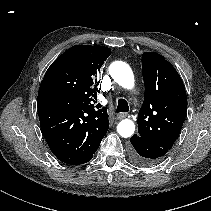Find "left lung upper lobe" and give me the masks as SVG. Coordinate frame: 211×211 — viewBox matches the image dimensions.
<instances>
[{"instance_id":"obj_1","label":"left lung upper lobe","mask_w":211,"mask_h":211,"mask_svg":"<svg viewBox=\"0 0 211 211\" xmlns=\"http://www.w3.org/2000/svg\"><path fill=\"white\" fill-rule=\"evenodd\" d=\"M142 69L145 96L138 113L137 135L168 152L185 120V87L174 67L160 54L143 53Z\"/></svg>"}]
</instances>
